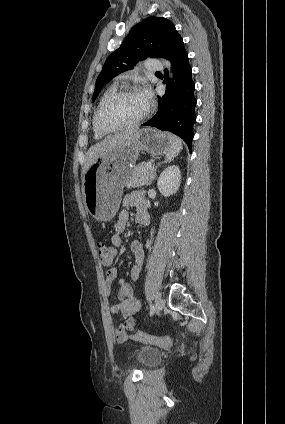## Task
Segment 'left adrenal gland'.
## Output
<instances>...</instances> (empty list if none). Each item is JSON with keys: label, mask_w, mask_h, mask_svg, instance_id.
Returning a JSON list of instances; mask_svg holds the SVG:
<instances>
[{"label": "left adrenal gland", "mask_w": 285, "mask_h": 424, "mask_svg": "<svg viewBox=\"0 0 285 424\" xmlns=\"http://www.w3.org/2000/svg\"><path fill=\"white\" fill-rule=\"evenodd\" d=\"M161 164H162V163H158V165L155 167V169H154V178H155V176H156L157 168H158Z\"/></svg>", "instance_id": "obj_1"}]
</instances>
